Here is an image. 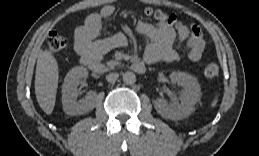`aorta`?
Masks as SVG:
<instances>
[{
	"label": "aorta",
	"mask_w": 259,
	"mask_h": 156,
	"mask_svg": "<svg viewBox=\"0 0 259 156\" xmlns=\"http://www.w3.org/2000/svg\"><path fill=\"white\" fill-rule=\"evenodd\" d=\"M123 82L126 85H132L136 82V75L133 72L127 71L123 74Z\"/></svg>",
	"instance_id": "1"
}]
</instances>
